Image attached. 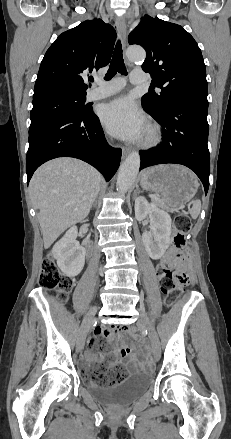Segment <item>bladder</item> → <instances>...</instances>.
Segmentation results:
<instances>
[{
  "label": "bladder",
  "mask_w": 231,
  "mask_h": 439,
  "mask_svg": "<svg viewBox=\"0 0 231 439\" xmlns=\"http://www.w3.org/2000/svg\"><path fill=\"white\" fill-rule=\"evenodd\" d=\"M92 366H87L82 370V376L89 375ZM152 382V375L140 373L126 378L123 382L112 386L90 385L89 392L91 396L109 406H124L130 404L142 393H144Z\"/></svg>",
  "instance_id": "31cf9c89"
}]
</instances>
